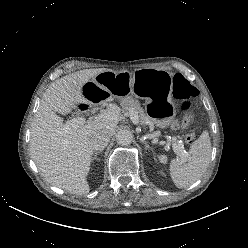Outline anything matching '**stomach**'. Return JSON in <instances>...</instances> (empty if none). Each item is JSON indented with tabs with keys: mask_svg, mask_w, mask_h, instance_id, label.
I'll return each instance as SVG.
<instances>
[{
	"mask_svg": "<svg viewBox=\"0 0 248 248\" xmlns=\"http://www.w3.org/2000/svg\"><path fill=\"white\" fill-rule=\"evenodd\" d=\"M171 80L172 74L162 69H138L134 72L107 70L86 84L88 95L93 102L107 97L125 99L129 94L136 92L145 96L148 119L157 127L166 128L176 116V109L171 100ZM83 93L87 97L85 91Z\"/></svg>",
	"mask_w": 248,
	"mask_h": 248,
	"instance_id": "obj_1",
	"label": "stomach"
}]
</instances>
